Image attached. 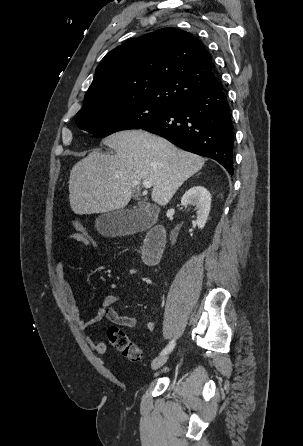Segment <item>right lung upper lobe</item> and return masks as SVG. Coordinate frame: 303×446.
Listing matches in <instances>:
<instances>
[{"label":"right lung upper lobe","mask_w":303,"mask_h":446,"mask_svg":"<svg viewBox=\"0 0 303 446\" xmlns=\"http://www.w3.org/2000/svg\"><path fill=\"white\" fill-rule=\"evenodd\" d=\"M217 83L203 43L192 33L163 28L106 54L79 112L133 101L173 107L190 93Z\"/></svg>","instance_id":"right-lung-upper-lobe-1"}]
</instances>
